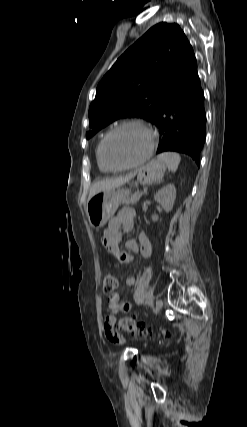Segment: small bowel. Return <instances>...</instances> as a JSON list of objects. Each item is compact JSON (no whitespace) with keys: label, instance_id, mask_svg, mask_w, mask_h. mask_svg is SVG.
<instances>
[{"label":"small bowel","instance_id":"1","mask_svg":"<svg viewBox=\"0 0 247 427\" xmlns=\"http://www.w3.org/2000/svg\"><path fill=\"white\" fill-rule=\"evenodd\" d=\"M135 225V212L132 209H122L117 216L112 218L109 222L108 228L105 231L103 244L105 249L113 254L117 262L126 266L133 259L129 253H140L145 259H148L152 254V246L147 236L140 232L138 239H128L125 241V247L129 252L122 251L119 247L123 241V234L133 230ZM135 283V278L128 274L125 278V284L132 286ZM132 309L129 302L120 301L117 293H113L108 298V314L104 321V332L106 338L116 344L124 342V338L115 329L116 314L120 312H128Z\"/></svg>","mask_w":247,"mask_h":427}]
</instances>
